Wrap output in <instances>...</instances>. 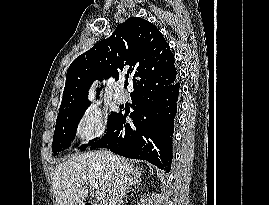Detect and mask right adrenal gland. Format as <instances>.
I'll return each instance as SVG.
<instances>
[{"label":"right adrenal gland","instance_id":"1","mask_svg":"<svg viewBox=\"0 0 269 205\" xmlns=\"http://www.w3.org/2000/svg\"><path fill=\"white\" fill-rule=\"evenodd\" d=\"M141 171L136 170L135 172H132L129 178V185L127 187L126 193L130 192L132 186L139 184L141 179Z\"/></svg>","mask_w":269,"mask_h":205}]
</instances>
